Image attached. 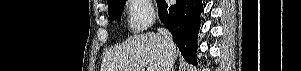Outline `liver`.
<instances>
[{
    "label": "liver",
    "mask_w": 301,
    "mask_h": 71,
    "mask_svg": "<svg viewBox=\"0 0 301 71\" xmlns=\"http://www.w3.org/2000/svg\"><path fill=\"white\" fill-rule=\"evenodd\" d=\"M165 51L164 39L160 34H141L109 51L103 60L101 71H161ZM173 58L179 55L175 44Z\"/></svg>",
    "instance_id": "1"
}]
</instances>
